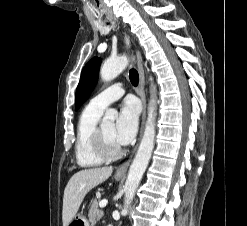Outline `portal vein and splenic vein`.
I'll use <instances>...</instances> for the list:
<instances>
[{"instance_id": "obj_1", "label": "portal vein and splenic vein", "mask_w": 247, "mask_h": 226, "mask_svg": "<svg viewBox=\"0 0 247 226\" xmlns=\"http://www.w3.org/2000/svg\"><path fill=\"white\" fill-rule=\"evenodd\" d=\"M108 201L106 199H103L100 203H99V206L101 208L105 207L107 205Z\"/></svg>"}]
</instances>
